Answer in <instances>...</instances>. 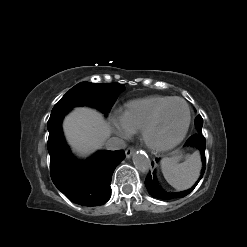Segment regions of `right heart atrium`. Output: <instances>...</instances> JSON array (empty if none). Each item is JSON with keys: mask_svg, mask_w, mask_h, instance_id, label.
Here are the masks:
<instances>
[{"mask_svg": "<svg viewBox=\"0 0 247 247\" xmlns=\"http://www.w3.org/2000/svg\"><path fill=\"white\" fill-rule=\"evenodd\" d=\"M113 128L116 133L123 137H129L133 132L123 115H118L113 119Z\"/></svg>", "mask_w": 247, "mask_h": 247, "instance_id": "1", "label": "right heart atrium"}]
</instances>
